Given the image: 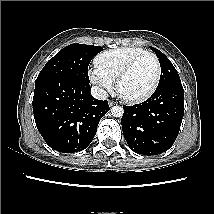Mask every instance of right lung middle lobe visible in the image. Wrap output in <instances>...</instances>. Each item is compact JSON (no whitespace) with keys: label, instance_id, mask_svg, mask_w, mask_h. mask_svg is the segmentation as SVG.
I'll list each match as a JSON object with an SVG mask.
<instances>
[{"label":"right lung middle lobe","instance_id":"obj_1","mask_svg":"<svg viewBox=\"0 0 214 214\" xmlns=\"http://www.w3.org/2000/svg\"><path fill=\"white\" fill-rule=\"evenodd\" d=\"M102 50L100 46L77 43L61 49L43 67L35 84L51 78H65L89 84L88 65Z\"/></svg>","mask_w":214,"mask_h":214}]
</instances>
